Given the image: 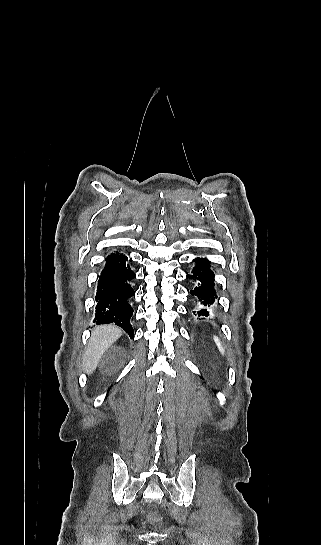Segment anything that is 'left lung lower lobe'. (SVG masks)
<instances>
[{
  "mask_svg": "<svg viewBox=\"0 0 321 545\" xmlns=\"http://www.w3.org/2000/svg\"><path fill=\"white\" fill-rule=\"evenodd\" d=\"M197 266L192 270V274H188L187 278L199 280L200 284L194 290H190V294L197 296L202 304L200 310L195 311L199 316H208L209 311L206 307H210L216 298L214 286V274L208 268L209 261L204 258L194 259Z\"/></svg>",
  "mask_w": 321,
  "mask_h": 545,
  "instance_id": "1",
  "label": "left lung lower lobe"
}]
</instances>
